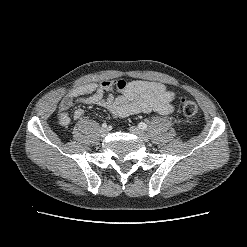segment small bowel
Segmentation results:
<instances>
[{"label":"small bowel","mask_w":247,"mask_h":247,"mask_svg":"<svg viewBox=\"0 0 247 247\" xmlns=\"http://www.w3.org/2000/svg\"><path fill=\"white\" fill-rule=\"evenodd\" d=\"M114 91L119 95L115 96ZM175 96L173 91L159 82L113 80L88 83L71 89L62 98L58 121L62 126H67L71 121L69 109L79 103L100 106L116 118L150 112L168 115L174 112ZM83 115L84 110L79 108L74 111L73 118L78 120Z\"/></svg>","instance_id":"small-bowel-1"}]
</instances>
